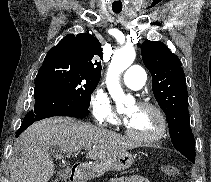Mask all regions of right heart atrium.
I'll return each mask as SVG.
<instances>
[{
    "label": "right heart atrium",
    "instance_id": "d8ad5b80",
    "mask_svg": "<svg viewBox=\"0 0 211 182\" xmlns=\"http://www.w3.org/2000/svg\"><path fill=\"white\" fill-rule=\"evenodd\" d=\"M90 111L95 122L100 125H116L118 123V117L108 96L99 89L91 95Z\"/></svg>",
    "mask_w": 211,
    "mask_h": 182
}]
</instances>
